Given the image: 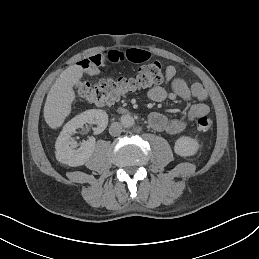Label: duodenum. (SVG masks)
Listing matches in <instances>:
<instances>
[{
  "label": "duodenum",
  "mask_w": 259,
  "mask_h": 259,
  "mask_svg": "<svg viewBox=\"0 0 259 259\" xmlns=\"http://www.w3.org/2000/svg\"><path fill=\"white\" fill-rule=\"evenodd\" d=\"M119 112L122 113V114L127 113V111H126L125 109H123V108H120V109H119Z\"/></svg>",
  "instance_id": "obj_1"
}]
</instances>
